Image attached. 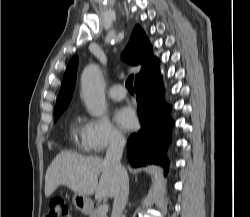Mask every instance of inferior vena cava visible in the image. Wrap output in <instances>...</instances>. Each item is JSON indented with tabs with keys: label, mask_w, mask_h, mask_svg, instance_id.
Here are the masks:
<instances>
[{
	"label": "inferior vena cava",
	"mask_w": 250,
	"mask_h": 217,
	"mask_svg": "<svg viewBox=\"0 0 250 217\" xmlns=\"http://www.w3.org/2000/svg\"><path fill=\"white\" fill-rule=\"evenodd\" d=\"M125 143L123 136L115 135L111 139L105 157V162L110 166L115 179L114 204L111 217H123L122 213L128 200V174L120 163Z\"/></svg>",
	"instance_id": "602c4592"
}]
</instances>
